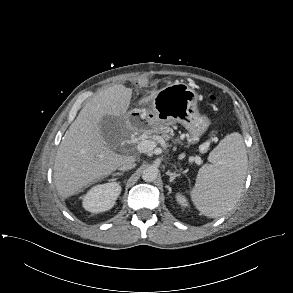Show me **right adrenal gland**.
Instances as JSON below:
<instances>
[{
    "instance_id": "1",
    "label": "right adrenal gland",
    "mask_w": 293,
    "mask_h": 293,
    "mask_svg": "<svg viewBox=\"0 0 293 293\" xmlns=\"http://www.w3.org/2000/svg\"><path fill=\"white\" fill-rule=\"evenodd\" d=\"M121 176V175H123V173H119V172H117V173H115V174H113V176Z\"/></svg>"
}]
</instances>
